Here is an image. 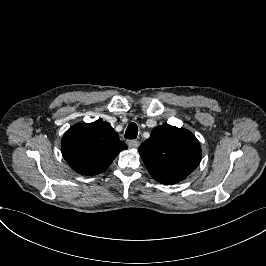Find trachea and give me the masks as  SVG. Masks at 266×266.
<instances>
[{
  "instance_id": "obj_1",
  "label": "trachea",
  "mask_w": 266,
  "mask_h": 266,
  "mask_svg": "<svg viewBox=\"0 0 266 266\" xmlns=\"http://www.w3.org/2000/svg\"><path fill=\"white\" fill-rule=\"evenodd\" d=\"M138 135V127L135 123H130L126 129L125 138L135 139Z\"/></svg>"
}]
</instances>
